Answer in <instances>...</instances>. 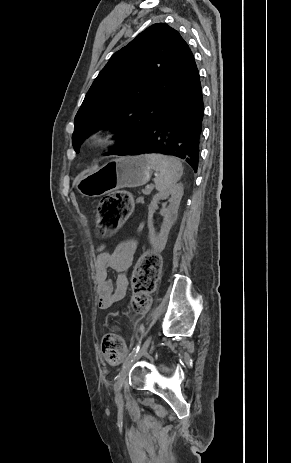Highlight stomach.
Here are the masks:
<instances>
[{
  "label": "stomach",
  "instance_id": "stomach-1",
  "mask_svg": "<svg viewBox=\"0 0 291 463\" xmlns=\"http://www.w3.org/2000/svg\"><path fill=\"white\" fill-rule=\"evenodd\" d=\"M151 169L143 155L121 157L100 168L83 171L76 178L75 186L84 196L99 197L117 189L146 184Z\"/></svg>",
  "mask_w": 291,
  "mask_h": 463
}]
</instances>
